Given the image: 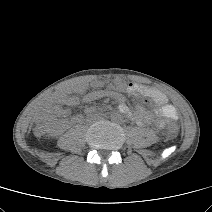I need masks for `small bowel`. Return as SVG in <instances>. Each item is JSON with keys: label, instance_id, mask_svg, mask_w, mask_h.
Listing matches in <instances>:
<instances>
[{"label": "small bowel", "instance_id": "obj_1", "mask_svg": "<svg viewBox=\"0 0 212 212\" xmlns=\"http://www.w3.org/2000/svg\"><path fill=\"white\" fill-rule=\"evenodd\" d=\"M90 85L94 90L86 93L82 98L73 95L72 92L84 93L87 89V84H79L73 89H62L51 97L45 107V114L50 117L49 121L52 123L53 135H59L70 125L82 121L80 115L68 118L69 110L64 106L73 107L80 102L91 103L103 98L116 100L119 104V111L135 120L139 125L152 124L157 128H162L167 123L176 121L178 118L175 107L169 104L166 95L155 87L136 83L125 84L122 82L106 85L102 80H94ZM123 92L142 94L151 99L157 105L156 117H153L143 108H138L135 112L131 111L126 104Z\"/></svg>", "mask_w": 212, "mask_h": 212}]
</instances>
